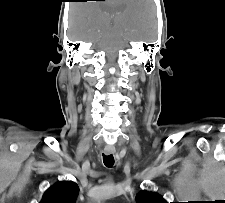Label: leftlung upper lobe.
<instances>
[{
	"mask_svg": "<svg viewBox=\"0 0 225 203\" xmlns=\"http://www.w3.org/2000/svg\"><path fill=\"white\" fill-rule=\"evenodd\" d=\"M137 203H167L157 193H149L147 191H141L136 196Z\"/></svg>",
	"mask_w": 225,
	"mask_h": 203,
	"instance_id": "obj_1",
	"label": "left lung upper lobe"
}]
</instances>
